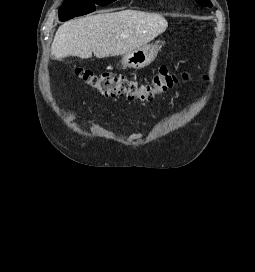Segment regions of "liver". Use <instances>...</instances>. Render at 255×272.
Here are the masks:
<instances>
[{"instance_id": "1", "label": "liver", "mask_w": 255, "mask_h": 272, "mask_svg": "<svg viewBox=\"0 0 255 272\" xmlns=\"http://www.w3.org/2000/svg\"><path fill=\"white\" fill-rule=\"evenodd\" d=\"M168 26L156 13L136 10L87 15L62 24L54 37L51 52L56 59H82L124 55L147 45Z\"/></svg>"}]
</instances>
